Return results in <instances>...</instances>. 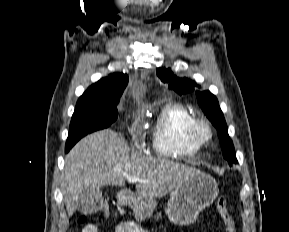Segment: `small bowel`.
Instances as JSON below:
<instances>
[{
    "instance_id": "obj_1",
    "label": "small bowel",
    "mask_w": 289,
    "mask_h": 232,
    "mask_svg": "<svg viewBox=\"0 0 289 232\" xmlns=\"http://www.w3.org/2000/svg\"><path fill=\"white\" fill-rule=\"evenodd\" d=\"M82 232H99L95 225H86ZM115 232H148L141 224L133 221H126L118 224L115 228Z\"/></svg>"
}]
</instances>
